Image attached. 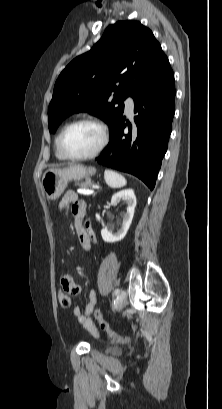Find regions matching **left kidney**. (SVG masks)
<instances>
[{"label": "left kidney", "mask_w": 222, "mask_h": 409, "mask_svg": "<svg viewBox=\"0 0 222 409\" xmlns=\"http://www.w3.org/2000/svg\"><path fill=\"white\" fill-rule=\"evenodd\" d=\"M120 200H124L127 204V210L122 217L121 229L116 233H113L112 229L107 226L101 230V236L103 240L108 243L118 242L126 236L134 216V210L136 206V197L134 191L132 189H125L117 192L112 196L111 204L115 205Z\"/></svg>", "instance_id": "5707ae66"}]
</instances>
